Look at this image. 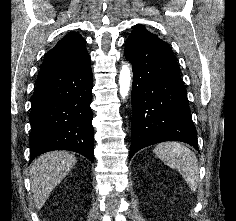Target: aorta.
<instances>
[{
    "label": "aorta",
    "instance_id": "obj_1",
    "mask_svg": "<svg viewBox=\"0 0 236 221\" xmlns=\"http://www.w3.org/2000/svg\"><path fill=\"white\" fill-rule=\"evenodd\" d=\"M130 83H131V70L130 67L125 64L122 66L119 75V91L122 99H125L130 90Z\"/></svg>",
    "mask_w": 236,
    "mask_h": 221
}]
</instances>
